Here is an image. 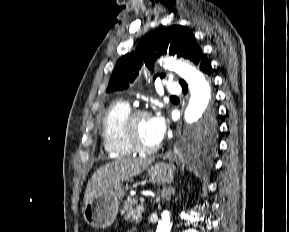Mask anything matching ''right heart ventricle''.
<instances>
[{
  "mask_svg": "<svg viewBox=\"0 0 289 232\" xmlns=\"http://www.w3.org/2000/svg\"><path fill=\"white\" fill-rule=\"evenodd\" d=\"M131 110L123 100L111 103L106 109L101 122V136L105 151L112 157H130L136 152L128 145L122 134V123Z\"/></svg>",
  "mask_w": 289,
  "mask_h": 232,
  "instance_id": "e07e8e85",
  "label": "right heart ventricle"
}]
</instances>
